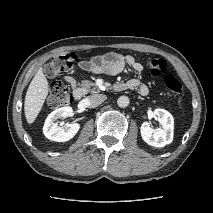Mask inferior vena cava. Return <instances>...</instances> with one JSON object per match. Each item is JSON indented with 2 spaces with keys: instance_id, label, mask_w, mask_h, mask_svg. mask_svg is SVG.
<instances>
[{
  "instance_id": "1",
  "label": "inferior vena cava",
  "mask_w": 213,
  "mask_h": 213,
  "mask_svg": "<svg viewBox=\"0 0 213 213\" xmlns=\"http://www.w3.org/2000/svg\"><path fill=\"white\" fill-rule=\"evenodd\" d=\"M107 99L106 95L103 94H93L86 98L88 107L95 108Z\"/></svg>"
}]
</instances>
